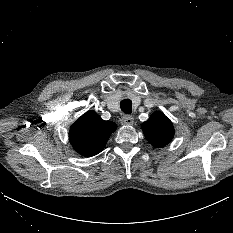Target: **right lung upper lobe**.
<instances>
[{"mask_svg":"<svg viewBox=\"0 0 233 233\" xmlns=\"http://www.w3.org/2000/svg\"><path fill=\"white\" fill-rule=\"evenodd\" d=\"M117 125L103 120L97 113L88 111L70 128L69 139L73 148L83 156H94L101 152Z\"/></svg>","mask_w":233,"mask_h":233,"instance_id":"right-lung-upper-lobe-1","label":"right lung upper lobe"}]
</instances>
